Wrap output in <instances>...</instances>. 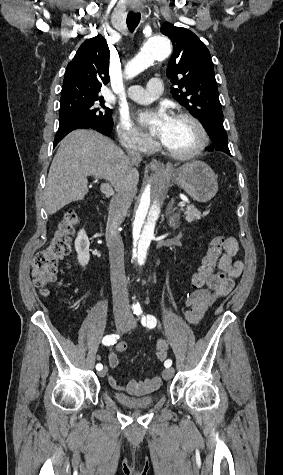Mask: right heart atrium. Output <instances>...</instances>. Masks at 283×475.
I'll return each mask as SVG.
<instances>
[{
    "instance_id": "right-heart-atrium-1",
    "label": "right heart atrium",
    "mask_w": 283,
    "mask_h": 475,
    "mask_svg": "<svg viewBox=\"0 0 283 475\" xmlns=\"http://www.w3.org/2000/svg\"><path fill=\"white\" fill-rule=\"evenodd\" d=\"M115 132L119 136L122 151L126 153L145 156L152 149L151 138L138 131L128 117L121 116L116 121Z\"/></svg>"
}]
</instances>
